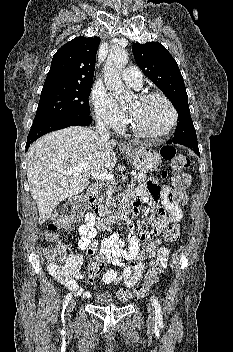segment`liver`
Instances as JSON below:
<instances>
[{
	"label": "liver",
	"instance_id": "6515ba94",
	"mask_svg": "<svg viewBox=\"0 0 233 352\" xmlns=\"http://www.w3.org/2000/svg\"><path fill=\"white\" fill-rule=\"evenodd\" d=\"M113 140H103L87 127L71 126L49 133L28 150L27 178L43 224L63 200L83 192L91 173H107L116 163ZM80 164L88 171L66 174Z\"/></svg>",
	"mask_w": 233,
	"mask_h": 352
}]
</instances>
